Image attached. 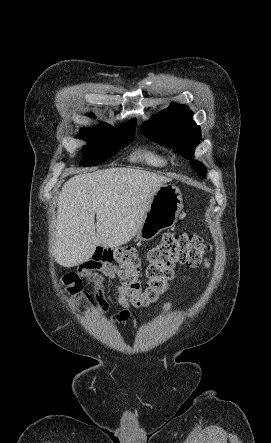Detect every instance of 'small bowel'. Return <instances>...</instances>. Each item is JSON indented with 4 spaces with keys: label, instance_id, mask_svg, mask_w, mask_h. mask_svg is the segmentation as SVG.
Segmentation results:
<instances>
[{
    "label": "small bowel",
    "instance_id": "obj_1",
    "mask_svg": "<svg viewBox=\"0 0 271 443\" xmlns=\"http://www.w3.org/2000/svg\"><path fill=\"white\" fill-rule=\"evenodd\" d=\"M119 268L111 264L97 263L89 260L80 265L77 272L69 273L62 278V283L67 287V295L79 305H84L91 311L103 313L108 310L109 302L105 294V285L113 282L119 276ZM88 278L94 290V295L89 296L83 292L82 278ZM118 293V301L125 308L118 316L116 321L124 322L129 318V301L121 294L120 287L115 286ZM171 309V304L166 303L163 307L164 312Z\"/></svg>",
    "mask_w": 271,
    "mask_h": 443
}]
</instances>
